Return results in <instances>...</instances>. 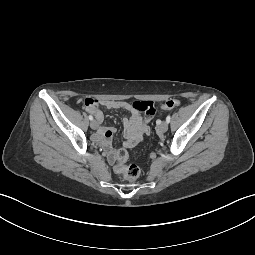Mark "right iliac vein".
<instances>
[{
  "mask_svg": "<svg viewBox=\"0 0 255 255\" xmlns=\"http://www.w3.org/2000/svg\"><path fill=\"white\" fill-rule=\"evenodd\" d=\"M90 127L92 129H97L98 128V122L96 120H92L90 123Z\"/></svg>",
  "mask_w": 255,
  "mask_h": 255,
  "instance_id": "right-iliac-vein-1",
  "label": "right iliac vein"
}]
</instances>
